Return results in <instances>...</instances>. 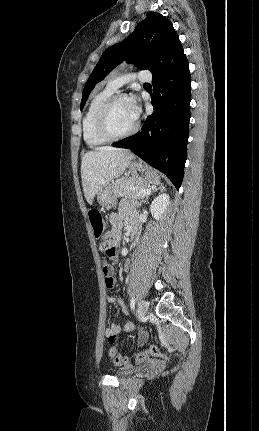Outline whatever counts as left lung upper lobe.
Returning <instances> with one entry per match:
<instances>
[{
	"label": "left lung upper lobe",
	"mask_w": 259,
	"mask_h": 431,
	"mask_svg": "<svg viewBox=\"0 0 259 431\" xmlns=\"http://www.w3.org/2000/svg\"><path fill=\"white\" fill-rule=\"evenodd\" d=\"M179 40L172 23L159 13L149 14L123 42L109 47L101 56L85 84L80 109L95 85L120 62L126 60L141 69L153 72L170 47Z\"/></svg>",
	"instance_id": "1"
}]
</instances>
